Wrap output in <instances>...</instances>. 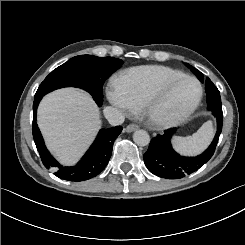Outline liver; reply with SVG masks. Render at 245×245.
<instances>
[{
  "instance_id": "obj_1",
  "label": "liver",
  "mask_w": 245,
  "mask_h": 245,
  "mask_svg": "<svg viewBox=\"0 0 245 245\" xmlns=\"http://www.w3.org/2000/svg\"><path fill=\"white\" fill-rule=\"evenodd\" d=\"M37 122L48 149L64 165L78 161L101 127L92 97L76 88L47 94L39 105Z\"/></svg>"
}]
</instances>
